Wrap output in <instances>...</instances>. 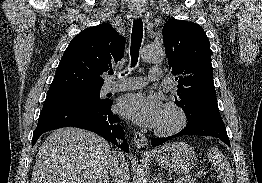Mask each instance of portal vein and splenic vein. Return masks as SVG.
Segmentation results:
<instances>
[{
  "label": "portal vein and splenic vein",
  "mask_w": 262,
  "mask_h": 183,
  "mask_svg": "<svg viewBox=\"0 0 262 183\" xmlns=\"http://www.w3.org/2000/svg\"><path fill=\"white\" fill-rule=\"evenodd\" d=\"M206 172L200 171L197 173V175H204ZM184 179H179L175 183H181Z\"/></svg>",
  "instance_id": "portal-vein-and-splenic-vein-1"
}]
</instances>
